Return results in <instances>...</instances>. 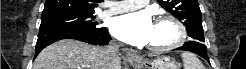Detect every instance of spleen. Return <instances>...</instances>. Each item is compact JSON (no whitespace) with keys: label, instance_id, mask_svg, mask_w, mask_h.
<instances>
[{"label":"spleen","instance_id":"1","mask_svg":"<svg viewBox=\"0 0 246 69\" xmlns=\"http://www.w3.org/2000/svg\"><path fill=\"white\" fill-rule=\"evenodd\" d=\"M181 57L184 63V69H205L201 61L193 53L183 52Z\"/></svg>","mask_w":246,"mask_h":69}]
</instances>
